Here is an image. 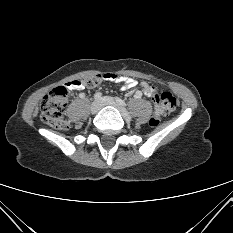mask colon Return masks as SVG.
Returning <instances> with one entry per match:
<instances>
[{
	"instance_id": "colon-1",
	"label": "colon",
	"mask_w": 233,
	"mask_h": 233,
	"mask_svg": "<svg viewBox=\"0 0 233 233\" xmlns=\"http://www.w3.org/2000/svg\"><path fill=\"white\" fill-rule=\"evenodd\" d=\"M104 74H95L83 78V84L86 88H95L99 86L103 80ZM69 89L64 86L53 89L47 94L41 102V118L42 120L55 129L66 130L70 127L69 121L64 116V110L67 105ZM154 102L157 108L155 114L150 120L149 125L154 127L159 124V114L168 115L172 113L176 106L177 100L170 92L164 91L160 95H156Z\"/></svg>"
}]
</instances>
